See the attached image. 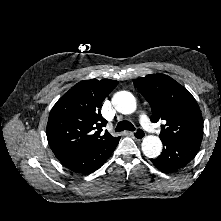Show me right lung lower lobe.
I'll list each match as a JSON object with an SVG mask.
<instances>
[{
  "mask_svg": "<svg viewBox=\"0 0 221 221\" xmlns=\"http://www.w3.org/2000/svg\"><path fill=\"white\" fill-rule=\"evenodd\" d=\"M118 141L97 151H88L69 157L61 163L73 172L90 174L105 163L116 148Z\"/></svg>",
  "mask_w": 221,
  "mask_h": 221,
  "instance_id": "right-lung-lower-lobe-1",
  "label": "right lung lower lobe"
}]
</instances>
